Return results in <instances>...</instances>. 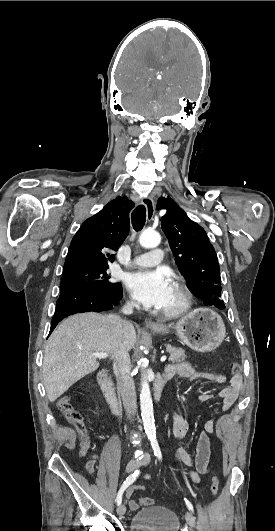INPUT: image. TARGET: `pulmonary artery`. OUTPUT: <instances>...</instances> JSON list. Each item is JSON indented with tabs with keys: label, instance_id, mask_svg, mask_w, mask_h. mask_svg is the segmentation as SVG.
<instances>
[{
	"label": "pulmonary artery",
	"instance_id": "obj_1",
	"mask_svg": "<svg viewBox=\"0 0 275 531\" xmlns=\"http://www.w3.org/2000/svg\"><path fill=\"white\" fill-rule=\"evenodd\" d=\"M149 255H151V252H146L144 256H135L132 260V266L134 267L151 266L152 267V265L160 264L164 256V253L159 246H154L152 248V259L149 258Z\"/></svg>",
	"mask_w": 275,
	"mask_h": 531
}]
</instances>
